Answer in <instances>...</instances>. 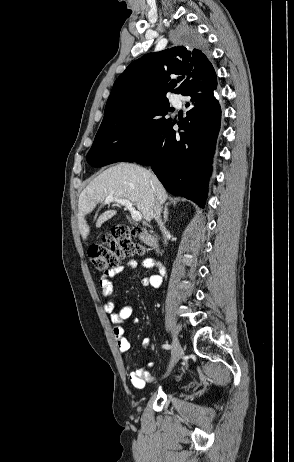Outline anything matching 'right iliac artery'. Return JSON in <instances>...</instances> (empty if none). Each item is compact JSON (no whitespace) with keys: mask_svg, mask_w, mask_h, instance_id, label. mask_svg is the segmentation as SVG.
Instances as JSON below:
<instances>
[{"mask_svg":"<svg viewBox=\"0 0 294 462\" xmlns=\"http://www.w3.org/2000/svg\"><path fill=\"white\" fill-rule=\"evenodd\" d=\"M163 348H164V349H170L171 346H170L169 344H164V345H163Z\"/></svg>","mask_w":294,"mask_h":462,"instance_id":"right-iliac-artery-1","label":"right iliac artery"}]
</instances>
